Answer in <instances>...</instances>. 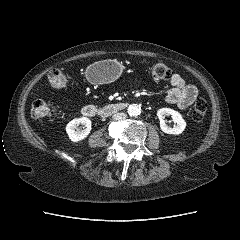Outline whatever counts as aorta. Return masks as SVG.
<instances>
[{
  "mask_svg": "<svg viewBox=\"0 0 240 240\" xmlns=\"http://www.w3.org/2000/svg\"><path fill=\"white\" fill-rule=\"evenodd\" d=\"M141 113V107L137 104H131L128 107V114L130 116H138Z\"/></svg>",
  "mask_w": 240,
  "mask_h": 240,
  "instance_id": "obj_1",
  "label": "aorta"
}]
</instances>
